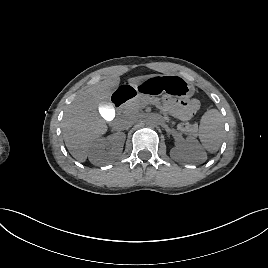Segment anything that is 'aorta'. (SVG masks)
I'll return each instance as SVG.
<instances>
[{"mask_svg": "<svg viewBox=\"0 0 268 268\" xmlns=\"http://www.w3.org/2000/svg\"><path fill=\"white\" fill-rule=\"evenodd\" d=\"M146 125L148 127H156L158 125V118L155 115H150L146 119Z\"/></svg>", "mask_w": 268, "mask_h": 268, "instance_id": "aorta-1", "label": "aorta"}]
</instances>
